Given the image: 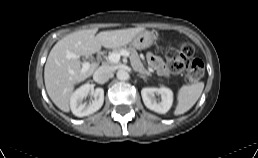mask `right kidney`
<instances>
[{
  "instance_id": "ca27d5eb",
  "label": "right kidney",
  "mask_w": 258,
  "mask_h": 158,
  "mask_svg": "<svg viewBox=\"0 0 258 158\" xmlns=\"http://www.w3.org/2000/svg\"><path fill=\"white\" fill-rule=\"evenodd\" d=\"M91 94L94 96V100L88 105L83 103V99ZM104 102V90L102 88L93 87L87 83L79 87L70 98V108L72 113L77 117H84L98 111Z\"/></svg>"
}]
</instances>
